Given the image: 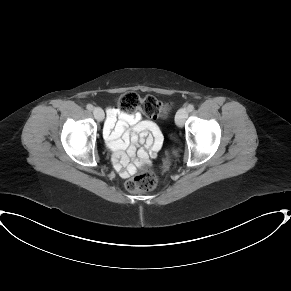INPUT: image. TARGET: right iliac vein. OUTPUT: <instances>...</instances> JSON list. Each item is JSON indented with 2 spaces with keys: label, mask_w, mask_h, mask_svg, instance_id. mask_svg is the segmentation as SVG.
Returning a JSON list of instances; mask_svg holds the SVG:
<instances>
[{
  "label": "right iliac vein",
  "mask_w": 291,
  "mask_h": 291,
  "mask_svg": "<svg viewBox=\"0 0 291 291\" xmlns=\"http://www.w3.org/2000/svg\"><path fill=\"white\" fill-rule=\"evenodd\" d=\"M93 114L98 121H102L104 119V112L100 107H95L93 109Z\"/></svg>",
  "instance_id": "63e3f726"
}]
</instances>
